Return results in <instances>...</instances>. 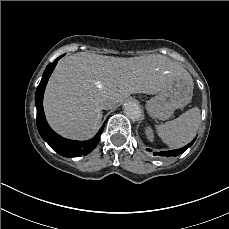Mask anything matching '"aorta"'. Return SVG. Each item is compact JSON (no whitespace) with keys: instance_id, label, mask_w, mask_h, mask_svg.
<instances>
[{"instance_id":"obj_1","label":"aorta","mask_w":229,"mask_h":229,"mask_svg":"<svg viewBox=\"0 0 229 229\" xmlns=\"http://www.w3.org/2000/svg\"><path fill=\"white\" fill-rule=\"evenodd\" d=\"M124 113L132 120L137 121L141 118L142 112L138 104L134 101H127L123 107Z\"/></svg>"}]
</instances>
